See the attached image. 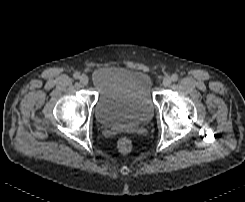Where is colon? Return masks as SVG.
I'll use <instances>...</instances> for the list:
<instances>
[{"instance_id": "1", "label": "colon", "mask_w": 245, "mask_h": 202, "mask_svg": "<svg viewBox=\"0 0 245 202\" xmlns=\"http://www.w3.org/2000/svg\"><path fill=\"white\" fill-rule=\"evenodd\" d=\"M117 147H118V151L122 155H128L131 153L133 148L132 140L129 137L124 136L119 139Z\"/></svg>"}]
</instances>
